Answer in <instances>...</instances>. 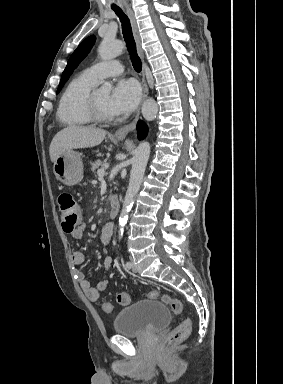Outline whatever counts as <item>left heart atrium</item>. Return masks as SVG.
Segmentation results:
<instances>
[{
    "label": "left heart atrium",
    "instance_id": "39dd6f15",
    "mask_svg": "<svg viewBox=\"0 0 283 384\" xmlns=\"http://www.w3.org/2000/svg\"><path fill=\"white\" fill-rule=\"evenodd\" d=\"M140 98V89L133 80H119L109 94L108 107L114 116L131 113Z\"/></svg>",
    "mask_w": 283,
    "mask_h": 384
}]
</instances>
